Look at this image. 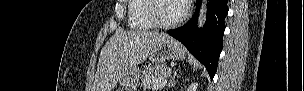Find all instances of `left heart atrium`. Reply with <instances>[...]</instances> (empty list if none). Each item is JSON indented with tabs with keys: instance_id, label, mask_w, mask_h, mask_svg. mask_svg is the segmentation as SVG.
Masks as SVG:
<instances>
[{
	"instance_id": "left-heart-atrium-1",
	"label": "left heart atrium",
	"mask_w": 304,
	"mask_h": 91,
	"mask_svg": "<svg viewBox=\"0 0 304 91\" xmlns=\"http://www.w3.org/2000/svg\"><path fill=\"white\" fill-rule=\"evenodd\" d=\"M183 3H186L187 1H182Z\"/></svg>"
}]
</instances>
